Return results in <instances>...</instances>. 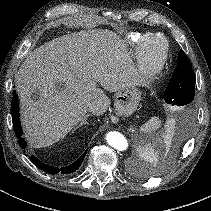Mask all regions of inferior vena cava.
<instances>
[{
  "instance_id": "inferior-vena-cava-1",
  "label": "inferior vena cava",
  "mask_w": 211,
  "mask_h": 211,
  "mask_svg": "<svg viewBox=\"0 0 211 211\" xmlns=\"http://www.w3.org/2000/svg\"><path fill=\"white\" fill-rule=\"evenodd\" d=\"M87 109H88V111L92 112V111L94 110V105H93V103H89V104L87 105Z\"/></svg>"
}]
</instances>
